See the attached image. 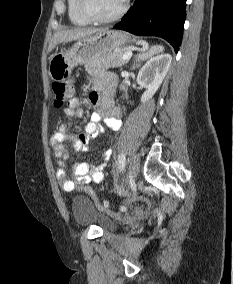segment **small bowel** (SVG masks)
<instances>
[{
  "instance_id": "c3829d8e",
  "label": "small bowel",
  "mask_w": 233,
  "mask_h": 284,
  "mask_svg": "<svg viewBox=\"0 0 233 284\" xmlns=\"http://www.w3.org/2000/svg\"><path fill=\"white\" fill-rule=\"evenodd\" d=\"M93 85L96 91L90 94L89 101L92 106L98 108V111L91 115L90 121L85 127V132L73 140L74 147L78 150L87 147L91 139L102 130L101 122L115 131L121 128L118 110L113 106L110 100V95L116 85L115 77L111 74L103 75L97 78ZM64 114L67 117H81L83 115V110L77 98H72L69 101L67 107L64 109ZM68 139H70V137L67 134L65 124H61L50 139V146L58 166L56 177L62 188L66 192H71L80 184L101 183L104 178L103 170L110 158L111 150H106L103 153V160L98 165H91L86 162L75 163L71 167L73 179L67 180L65 159L68 155V149L63 142Z\"/></svg>"
}]
</instances>
